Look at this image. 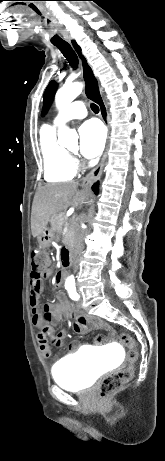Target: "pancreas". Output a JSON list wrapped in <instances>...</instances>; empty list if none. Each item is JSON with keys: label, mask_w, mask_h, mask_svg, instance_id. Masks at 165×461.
I'll use <instances>...</instances> for the list:
<instances>
[{"label": "pancreas", "mask_w": 165, "mask_h": 461, "mask_svg": "<svg viewBox=\"0 0 165 461\" xmlns=\"http://www.w3.org/2000/svg\"><path fill=\"white\" fill-rule=\"evenodd\" d=\"M50 223H51V228H52L53 232L56 233V238H59V236L62 233L63 226L66 224L65 213L64 212H59V213L55 214L54 216H52V218L50 220ZM72 235H73V227L70 226L67 233H66V235H65V237L63 238V242L65 244H70Z\"/></svg>", "instance_id": "cf45deb5"}]
</instances>
